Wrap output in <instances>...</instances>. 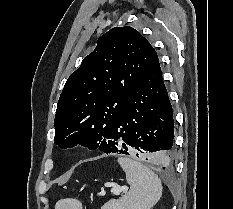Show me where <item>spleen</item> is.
Segmentation results:
<instances>
[{"label": "spleen", "instance_id": "3e777b00", "mask_svg": "<svg viewBox=\"0 0 233 209\" xmlns=\"http://www.w3.org/2000/svg\"><path fill=\"white\" fill-rule=\"evenodd\" d=\"M125 171L130 190L123 197L110 200L101 209H151L162 196L159 177L144 164L127 157L118 158ZM55 209H81L80 201L72 198L59 200Z\"/></svg>", "mask_w": 233, "mask_h": 209}]
</instances>
